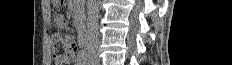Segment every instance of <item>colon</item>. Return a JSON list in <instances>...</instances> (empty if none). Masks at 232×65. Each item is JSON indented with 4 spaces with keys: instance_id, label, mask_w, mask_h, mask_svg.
<instances>
[{
    "instance_id": "5ec220e1",
    "label": "colon",
    "mask_w": 232,
    "mask_h": 65,
    "mask_svg": "<svg viewBox=\"0 0 232 65\" xmlns=\"http://www.w3.org/2000/svg\"><path fill=\"white\" fill-rule=\"evenodd\" d=\"M76 52L75 42L71 37H62V34L56 33L52 38V53L57 64H68Z\"/></svg>"
}]
</instances>
